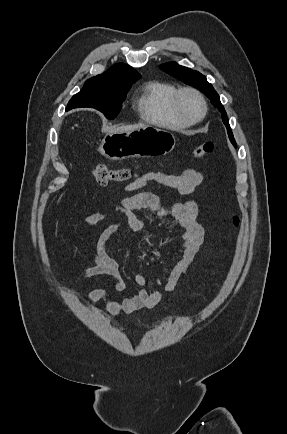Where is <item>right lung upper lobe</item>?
Masks as SVG:
<instances>
[{
    "instance_id": "1",
    "label": "right lung upper lobe",
    "mask_w": 287,
    "mask_h": 434,
    "mask_svg": "<svg viewBox=\"0 0 287 434\" xmlns=\"http://www.w3.org/2000/svg\"><path fill=\"white\" fill-rule=\"evenodd\" d=\"M141 75L129 65L124 63L115 64L108 71L97 75L89 80H104L110 82L124 83L137 81Z\"/></svg>"
}]
</instances>
